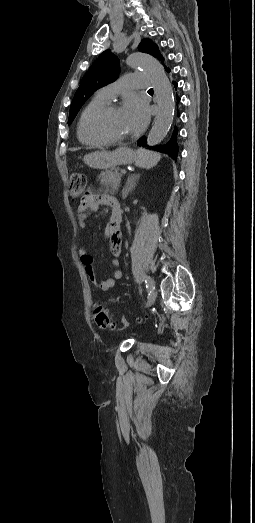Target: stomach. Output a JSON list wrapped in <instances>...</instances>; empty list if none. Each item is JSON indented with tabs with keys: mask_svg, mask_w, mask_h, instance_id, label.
Segmentation results:
<instances>
[{
	"mask_svg": "<svg viewBox=\"0 0 255 523\" xmlns=\"http://www.w3.org/2000/svg\"><path fill=\"white\" fill-rule=\"evenodd\" d=\"M138 154L133 152L131 148L121 146L111 154H102L99 151H90L88 157L85 159V164L88 167H96L95 170H109L115 166H127L135 162Z\"/></svg>",
	"mask_w": 255,
	"mask_h": 523,
	"instance_id": "stomach-1",
	"label": "stomach"
}]
</instances>
